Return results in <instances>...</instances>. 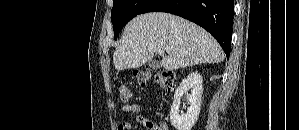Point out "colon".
<instances>
[{"label":"colon","instance_id":"colon-1","mask_svg":"<svg viewBox=\"0 0 299 130\" xmlns=\"http://www.w3.org/2000/svg\"><path fill=\"white\" fill-rule=\"evenodd\" d=\"M134 78L140 86L148 85L154 78L157 85L164 90H171L175 82V74L172 71H159L155 75L147 69L137 70L134 72ZM120 99L127 102L132 99L133 91L128 85H122L119 89ZM156 130H164L161 126H157Z\"/></svg>","mask_w":299,"mask_h":130}]
</instances>
